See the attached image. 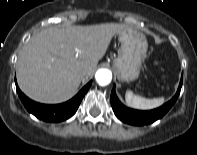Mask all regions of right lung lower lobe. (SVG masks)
Instances as JSON below:
<instances>
[{
    "mask_svg": "<svg viewBox=\"0 0 197 155\" xmlns=\"http://www.w3.org/2000/svg\"><path fill=\"white\" fill-rule=\"evenodd\" d=\"M91 83L90 81L86 84L71 100L57 105H45L32 101L21 92L17 83L16 90L25 108L38 119L46 122H61L75 114Z\"/></svg>",
    "mask_w": 197,
    "mask_h": 155,
    "instance_id": "1",
    "label": "right lung lower lobe"
}]
</instances>
